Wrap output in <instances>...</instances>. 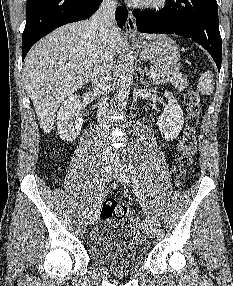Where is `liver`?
<instances>
[{"instance_id":"obj_1","label":"liver","mask_w":233,"mask_h":286,"mask_svg":"<svg viewBox=\"0 0 233 286\" xmlns=\"http://www.w3.org/2000/svg\"><path fill=\"white\" fill-rule=\"evenodd\" d=\"M91 20L56 29L38 42L25 58L26 91L45 133L53 129L56 111L62 101L91 79L93 57L98 46V31L92 28ZM146 37L156 39L158 36ZM111 42L114 53H119L123 37L115 25L111 28Z\"/></svg>"}]
</instances>
